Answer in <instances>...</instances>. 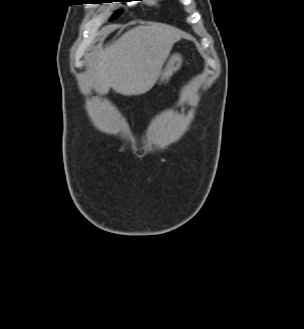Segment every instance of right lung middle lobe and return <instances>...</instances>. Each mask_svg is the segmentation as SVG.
<instances>
[{
  "label": "right lung middle lobe",
  "mask_w": 304,
  "mask_h": 329,
  "mask_svg": "<svg viewBox=\"0 0 304 329\" xmlns=\"http://www.w3.org/2000/svg\"><path fill=\"white\" fill-rule=\"evenodd\" d=\"M123 1H127V0H123ZM121 13V11H118V12H116L115 14H114V16H113V18L112 19H114V18H116V17H118V15Z\"/></svg>",
  "instance_id": "obj_1"
}]
</instances>
